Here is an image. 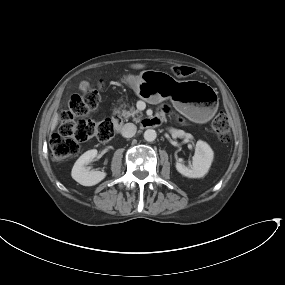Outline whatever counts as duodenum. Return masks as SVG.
<instances>
[{"mask_svg": "<svg viewBox=\"0 0 285 285\" xmlns=\"http://www.w3.org/2000/svg\"><path fill=\"white\" fill-rule=\"evenodd\" d=\"M112 120L115 123L116 130L120 131V129L122 128V119L118 111H115L112 114Z\"/></svg>", "mask_w": 285, "mask_h": 285, "instance_id": "410a0bca", "label": "duodenum"}]
</instances>
